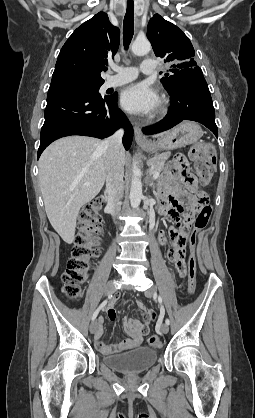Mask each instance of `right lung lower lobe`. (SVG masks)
Instances as JSON below:
<instances>
[{"label": "right lung lower lobe", "instance_id": "obj_1", "mask_svg": "<svg viewBox=\"0 0 255 418\" xmlns=\"http://www.w3.org/2000/svg\"><path fill=\"white\" fill-rule=\"evenodd\" d=\"M117 94L102 97L87 90H49L45 122L41 129L38 158L53 141L70 135L106 138L125 128L123 145L128 150L133 128L117 107Z\"/></svg>", "mask_w": 255, "mask_h": 418}]
</instances>
